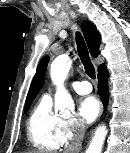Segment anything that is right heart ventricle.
I'll return each instance as SVG.
<instances>
[{"label":"right heart ventricle","mask_w":130,"mask_h":153,"mask_svg":"<svg viewBox=\"0 0 130 153\" xmlns=\"http://www.w3.org/2000/svg\"><path fill=\"white\" fill-rule=\"evenodd\" d=\"M62 121L52 110L51 96L42 95L27 120V136L32 146L42 152L57 151Z\"/></svg>","instance_id":"e07e8e85"}]
</instances>
